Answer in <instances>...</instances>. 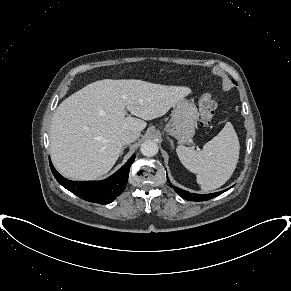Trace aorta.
Here are the masks:
<instances>
[{"label":"aorta","instance_id":"762f6f07","mask_svg":"<svg viewBox=\"0 0 291 291\" xmlns=\"http://www.w3.org/2000/svg\"><path fill=\"white\" fill-rule=\"evenodd\" d=\"M158 144L153 140H146L141 144L140 151L144 156L152 157L158 153Z\"/></svg>","mask_w":291,"mask_h":291}]
</instances>
